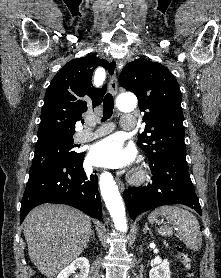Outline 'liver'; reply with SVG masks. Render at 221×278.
Here are the masks:
<instances>
[{"label": "liver", "instance_id": "liver-1", "mask_svg": "<svg viewBox=\"0 0 221 278\" xmlns=\"http://www.w3.org/2000/svg\"><path fill=\"white\" fill-rule=\"evenodd\" d=\"M91 233L90 218L66 205L38 206L24 220L29 257L48 278L80 256Z\"/></svg>", "mask_w": 221, "mask_h": 278}]
</instances>
